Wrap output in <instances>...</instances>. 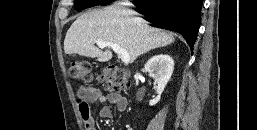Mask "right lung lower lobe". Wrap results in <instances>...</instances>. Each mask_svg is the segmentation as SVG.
Returning a JSON list of instances; mask_svg holds the SVG:
<instances>
[{"instance_id": "obj_1", "label": "right lung lower lobe", "mask_w": 257, "mask_h": 130, "mask_svg": "<svg viewBox=\"0 0 257 130\" xmlns=\"http://www.w3.org/2000/svg\"><path fill=\"white\" fill-rule=\"evenodd\" d=\"M203 0H155L136 5L152 26L181 34L191 50L201 24Z\"/></svg>"}]
</instances>
